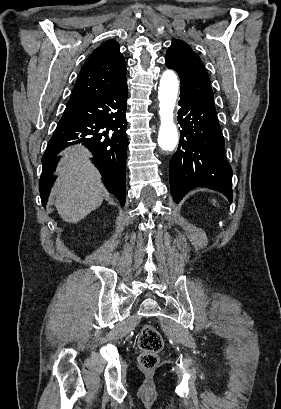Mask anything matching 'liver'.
<instances>
[{"instance_id":"obj_1","label":"liver","mask_w":281,"mask_h":409,"mask_svg":"<svg viewBox=\"0 0 281 409\" xmlns=\"http://www.w3.org/2000/svg\"><path fill=\"white\" fill-rule=\"evenodd\" d=\"M65 154L57 166L58 178L51 196H55V207L61 219L66 223H78L101 207L105 186L87 150L73 146Z\"/></svg>"}]
</instances>
